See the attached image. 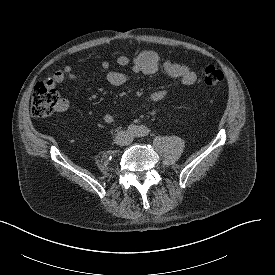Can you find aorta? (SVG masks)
<instances>
[{
    "label": "aorta",
    "instance_id": "obj_1",
    "mask_svg": "<svg viewBox=\"0 0 275 275\" xmlns=\"http://www.w3.org/2000/svg\"><path fill=\"white\" fill-rule=\"evenodd\" d=\"M142 132H146V129H143Z\"/></svg>",
    "mask_w": 275,
    "mask_h": 275
}]
</instances>
